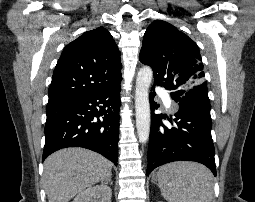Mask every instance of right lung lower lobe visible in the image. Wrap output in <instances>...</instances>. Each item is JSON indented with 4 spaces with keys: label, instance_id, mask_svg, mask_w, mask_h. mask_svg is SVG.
Listing matches in <instances>:
<instances>
[{
    "label": "right lung lower lobe",
    "instance_id": "right-lung-lower-lobe-1",
    "mask_svg": "<svg viewBox=\"0 0 255 202\" xmlns=\"http://www.w3.org/2000/svg\"><path fill=\"white\" fill-rule=\"evenodd\" d=\"M120 83L112 88L48 102L43 160L66 147L96 151L117 165Z\"/></svg>",
    "mask_w": 255,
    "mask_h": 202
}]
</instances>
